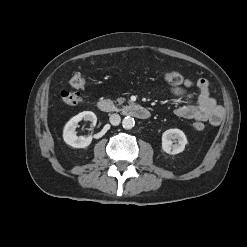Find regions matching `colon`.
<instances>
[{"label": "colon", "mask_w": 247, "mask_h": 247, "mask_svg": "<svg viewBox=\"0 0 247 247\" xmlns=\"http://www.w3.org/2000/svg\"><path fill=\"white\" fill-rule=\"evenodd\" d=\"M163 78L173 86L181 85L184 81V77L180 73L174 71L164 73ZM70 85L73 90L63 91L61 97L66 104L76 105L82 101V93L80 91L87 86V80L82 74L76 73L71 78ZM193 127L197 131H202L205 128V124L202 121H195Z\"/></svg>", "instance_id": "obj_1"}]
</instances>
